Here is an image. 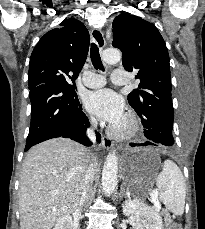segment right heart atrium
<instances>
[{
	"mask_svg": "<svg viewBox=\"0 0 205 229\" xmlns=\"http://www.w3.org/2000/svg\"><path fill=\"white\" fill-rule=\"evenodd\" d=\"M88 121H89L90 123H93V122H94V120H93L92 118H89Z\"/></svg>",
	"mask_w": 205,
	"mask_h": 229,
	"instance_id": "d8ad5b80",
	"label": "right heart atrium"
}]
</instances>
